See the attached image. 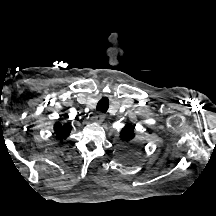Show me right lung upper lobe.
<instances>
[{
    "mask_svg": "<svg viewBox=\"0 0 216 216\" xmlns=\"http://www.w3.org/2000/svg\"><path fill=\"white\" fill-rule=\"evenodd\" d=\"M71 129L72 127L70 125H62L60 122H56L54 125V133L60 140L66 139L69 136Z\"/></svg>",
    "mask_w": 216,
    "mask_h": 216,
    "instance_id": "right-lung-upper-lobe-1",
    "label": "right lung upper lobe"
}]
</instances>
